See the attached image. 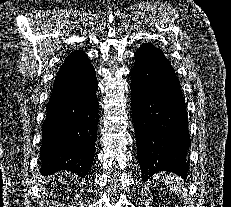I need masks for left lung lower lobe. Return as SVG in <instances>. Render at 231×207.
I'll list each match as a JSON object with an SVG mask.
<instances>
[{"mask_svg": "<svg viewBox=\"0 0 231 207\" xmlns=\"http://www.w3.org/2000/svg\"><path fill=\"white\" fill-rule=\"evenodd\" d=\"M131 70L132 115L142 180L160 171L187 178L191 140L180 82L162 50L145 43Z\"/></svg>", "mask_w": 231, "mask_h": 207, "instance_id": "1", "label": "left lung lower lobe"}]
</instances>
